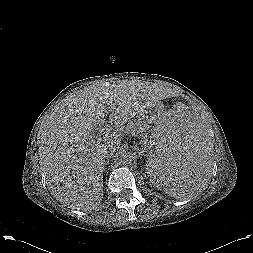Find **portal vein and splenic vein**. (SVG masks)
Segmentation results:
<instances>
[{
    "label": "portal vein and splenic vein",
    "instance_id": "portal-vein-and-splenic-vein-1",
    "mask_svg": "<svg viewBox=\"0 0 253 253\" xmlns=\"http://www.w3.org/2000/svg\"><path fill=\"white\" fill-rule=\"evenodd\" d=\"M113 135H115V134H113ZM99 137L101 138H109L110 137V129L109 128H106V129H104V130H102L101 132H100V135H99ZM100 141V140H99ZM145 149H147V147L145 146Z\"/></svg>",
    "mask_w": 253,
    "mask_h": 253
}]
</instances>
